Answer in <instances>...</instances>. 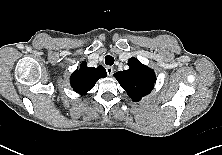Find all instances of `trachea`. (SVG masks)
I'll use <instances>...</instances> for the list:
<instances>
[{
    "label": "trachea",
    "mask_w": 222,
    "mask_h": 155,
    "mask_svg": "<svg viewBox=\"0 0 222 155\" xmlns=\"http://www.w3.org/2000/svg\"><path fill=\"white\" fill-rule=\"evenodd\" d=\"M105 64L113 65L114 64V58L110 55L105 56Z\"/></svg>",
    "instance_id": "1"
}]
</instances>
